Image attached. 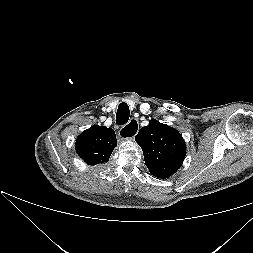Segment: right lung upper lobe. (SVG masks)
<instances>
[{
    "mask_svg": "<svg viewBox=\"0 0 253 253\" xmlns=\"http://www.w3.org/2000/svg\"><path fill=\"white\" fill-rule=\"evenodd\" d=\"M116 146L114 130L98 125L83 131L76 140V152L88 165L107 162Z\"/></svg>",
    "mask_w": 253,
    "mask_h": 253,
    "instance_id": "1",
    "label": "right lung upper lobe"
}]
</instances>
